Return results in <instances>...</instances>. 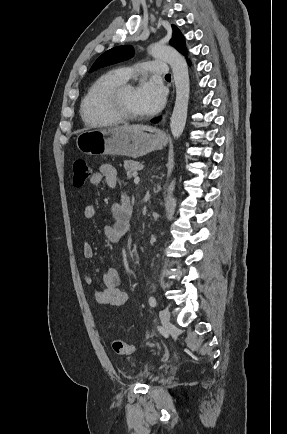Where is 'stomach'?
<instances>
[{"instance_id":"1","label":"stomach","mask_w":287,"mask_h":434,"mask_svg":"<svg viewBox=\"0 0 287 434\" xmlns=\"http://www.w3.org/2000/svg\"><path fill=\"white\" fill-rule=\"evenodd\" d=\"M78 150L88 155H120L140 157L163 146L162 139L144 131H127L120 128L83 131L76 138Z\"/></svg>"}]
</instances>
